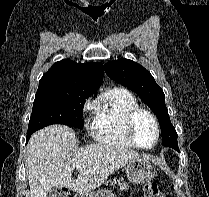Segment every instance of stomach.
<instances>
[{"mask_svg":"<svg viewBox=\"0 0 209 197\" xmlns=\"http://www.w3.org/2000/svg\"><path fill=\"white\" fill-rule=\"evenodd\" d=\"M126 174L129 181L133 184H144L150 182L155 176V168L145 157H137L128 162ZM79 197H115L109 190H99L88 194L79 195Z\"/></svg>","mask_w":209,"mask_h":197,"instance_id":"stomach-1","label":"stomach"}]
</instances>
